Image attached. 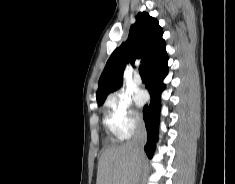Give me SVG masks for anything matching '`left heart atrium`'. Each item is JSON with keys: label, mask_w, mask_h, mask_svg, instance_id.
Returning a JSON list of instances; mask_svg holds the SVG:
<instances>
[{"label": "left heart atrium", "mask_w": 235, "mask_h": 184, "mask_svg": "<svg viewBox=\"0 0 235 184\" xmlns=\"http://www.w3.org/2000/svg\"><path fill=\"white\" fill-rule=\"evenodd\" d=\"M133 99H134L135 104L139 107L145 102V95L143 94V92L137 91L134 94Z\"/></svg>", "instance_id": "obj_1"}]
</instances>
